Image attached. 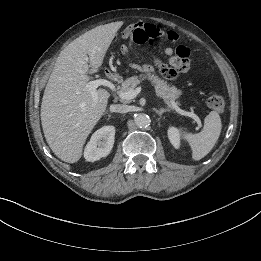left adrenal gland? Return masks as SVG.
<instances>
[{
  "mask_svg": "<svg viewBox=\"0 0 261 261\" xmlns=\"http://www.w3.org/2000/svg\"><path fill=\"white\" fill-rule=\"evenodd\" d=\"M169 109H166V108H160V110L158 109H155V112L161 117L163 113H166L168 112Z\"/></svg>",
  "mask_w": 261,
  "mask_h": 261,
  "instance_id": "1",
  "label": "left adrenal gland"
}]
</instances>
